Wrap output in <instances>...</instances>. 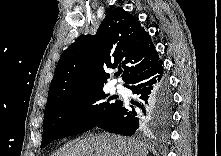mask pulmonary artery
<instances>
[{
    "label": "pulmonary artery",
    "mask_w": 221,
    "mask_h": 156,
    "mask_svg": "<svg viewBox=\"0 0 221 156\" xmlns=\"http://www.w3.org/2000/svg\"><path fill=\"white\" fill-rule=\"evenodd\" d=\"M114 90H116L117 92H122L124 89L122 85L117 84L114 86Z\"/></svg>",
    "instance_id": "1"
}]
</instances>
